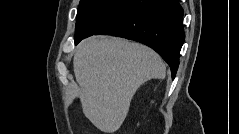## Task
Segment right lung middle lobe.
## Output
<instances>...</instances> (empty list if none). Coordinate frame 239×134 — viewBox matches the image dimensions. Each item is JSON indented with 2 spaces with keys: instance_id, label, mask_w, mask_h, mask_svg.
<instances>
[{
  "instance_id": "dd1d6c3e",
  "label": "right lung middle lobe",
  "mask_w": 239,
  "mask_h": 134,
  "mask_svg": "<svg viewBox=\"0 0 239 134\" xmlns=\"http://www.w3.org/2000/svg\"><path fill=\"white\" fill-rule=\"evenodd\" d=\"M121 0H81L78 8L75 39L85 35L94 23Z\"/></svg>"
}]
</instances>
